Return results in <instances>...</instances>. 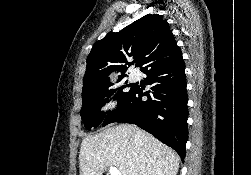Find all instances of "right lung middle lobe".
Wrapping results in <instances>:
<instances>
[{
	"mask_svg": "<svg viewBox=\"0 0 251 175\" xmlns=\"http://www.w3.org/2000/svg\"><path fill=\"white\" fill-rule=\"evenodd\" d=\"M122 77H119L120 81ZM112 84L108 83L102 86L85 87L82 91L83 105L81 108V118L85 124V127L90 130L92 126L97 127L106 117V113L101 111V107L104 106L108 99L114 95V99L120 100L126 96L132 89L125 90L122 86L117 89H110Z\"/></svg>",
	"mask_w": 251,
	"mask_h": 175,
	"instance_id": "right-lung-middle-lobe-1",
	"label": "right lung middle lobe"
}]
</instances>
